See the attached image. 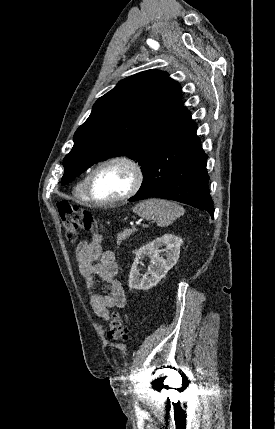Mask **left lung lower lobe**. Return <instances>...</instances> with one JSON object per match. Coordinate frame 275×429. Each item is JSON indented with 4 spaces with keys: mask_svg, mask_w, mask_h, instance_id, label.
<instances>
[{
    "mask_svg": "<svg viewBox=\"0 0 275 429\" xmlns=\"http://www.w3.org/2000/svg\"><path fill=\"white\" fill-rule=\"evenodd\" d=\"M189 112L173 135L157 151L146 170L139 191L129 201L156 197L206 210L213 217V201L206 170L208 156L196 136Z\"/></svg>",
    "mask_w": 275,
    "mask_h": 429,
    "instance_id": "0a47b994",
    "label": "left lung lower lobe"
}]
</instances>
